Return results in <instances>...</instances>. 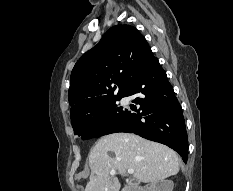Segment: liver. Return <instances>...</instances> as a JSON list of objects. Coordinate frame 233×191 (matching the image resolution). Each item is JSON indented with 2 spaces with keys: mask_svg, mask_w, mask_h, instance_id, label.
Returning <instances> with one entry per match:
<instances>
[{
  "mask_svg": "<svg viewBox=\"0 0 233 191\" xmlns=\"http://www.w3.org/2000/svg\"><path fill=\"white\" fill-rule=\"evenodd\" d=\"M90 181L85 191H119L121 184L110 171L124 176L134 169L138 182L156 183L179 172L180 160L171 148L130 133L101 137L89 156Z\"/></svg>",
  "mask_w": 233,
  "mask_h": 191,
  "instance_id": "obj_1",
  "label": "liver"
}]
</instances>
